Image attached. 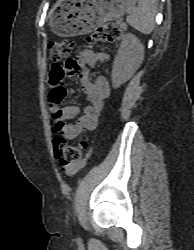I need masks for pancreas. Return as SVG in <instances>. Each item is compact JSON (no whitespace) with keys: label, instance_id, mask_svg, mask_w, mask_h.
<instances>
[{"label":"pancreas","instance_id":"1","mask_svg":"<svg viewBox=\"0 0 194 250\" xmlns=\"http://www.w3.org/2000/svg\"><path fill=\"white\" fill-rule=\"evenodd\" d=\"M121 29H126V24L122 22H118Z\"/></svg>","mask_w":194,"mask_h":250}]
</instances>
